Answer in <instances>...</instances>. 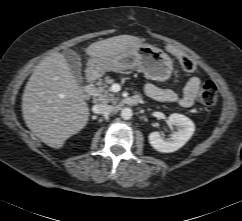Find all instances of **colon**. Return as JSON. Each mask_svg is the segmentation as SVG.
<instances>
[{
	"label": "colon",
	"instance_id": "colon-1",
	"mask_svg": "<svg viewBox=\"0 0 242 221\" xmlns=\"http://www.w3.org/2000/svg\"><path fill=\"white\" fill-rule=\"evenodd\" d=\"M167 50L178 60L181 68L185 72L187 73L195 72L196 64L189 55L183 53L182 51L172 46H169ZM198 100L203 106H206V107H210L214 105L217 100L216 85L211 81L204 83L199 91Z\"/></svg>",
	"mask_w": 242,
	"mask_h": 221
}]
</instances>
